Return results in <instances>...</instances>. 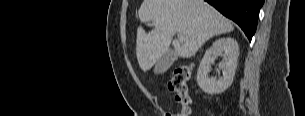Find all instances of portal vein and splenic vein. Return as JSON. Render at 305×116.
Instances as JSON below:
<instances>
[{
  "label": "portal vein and splenic vein",
  "instance_id": "portal-vein-and-splenic-vein-1",
  "mask_svg": "<svg viewBox=\"0 0 305 116\" xmlns=\"http://www.w3.org/2000/svg\"><path fill=\"white\" fill-rule=\"evenodd\" d=\"M178 37H179V38H181V37H182V35H181V34H178Z\"/></svg>",
  "mask_w": 305,
  "mask_h": 116
}]
</instances>
